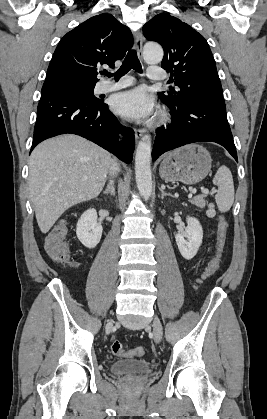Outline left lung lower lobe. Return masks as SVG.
Listing matches in <instances>:
<instances>
[{"mask_svg":"<svg viewBox=\"0 0 267 419\" xmlns=\"http://www.w3.org/2000/svg\"><path fill=\"white\" fill-rule=\"evenodd\" d=\"M170 111L171 124L156 130L152 151L153 161L161 154L177 147L194 142L211 141L224 146L238 162L224 100H196Z\"/></svg>","mask_w":267,"mask_h":419,"instance_id":"1","label":"left lung lower lobe"}]
</instances>
